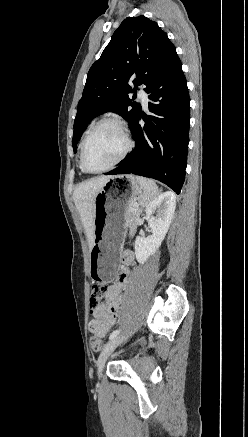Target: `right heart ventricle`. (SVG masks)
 Segmentation results:
<instances>
[{
  "label": "right heart ventricle",
  "mask_w": 248,
  "mask_h": 437,
  "mask_svg": "<svg viewBox=\"0 0 248 437\" xmlns=\"http://www.w3.org/2000/svg\"><path fill=\"white\" fill-rule=\"evenodd\" d=\"M82 142H83V140H82ZM82 142L80 143V147H81V145H82ZM80 169H81L82 171H84V170L82 169V167H81V164H80Z\"/></svg>",
  "instance_id": "1"
}]
</instances>
